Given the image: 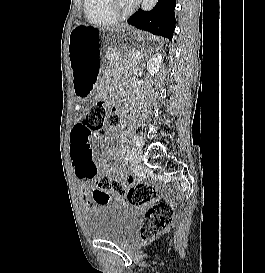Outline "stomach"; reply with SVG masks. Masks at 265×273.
I'll use <instances>...</instances> for the list:
<instances>
[{
  "label": "stomach",
  "mask_w": 265,
  "mask_h": 273,
  "mask_svg": "<svg viewBox=\"0 0 265 273\" xmlns=\"http://www.w3.org/2000/svg\"><path fill=\"white\" fill-rule=\"evenodd\" d=\"M139 34V30L129 27L104 29L76 24L68 41L76 94L90 95L97 79L108 78L117 64H133L138 56H147V51L140 49H156V45H161V40H153V35Z\"/></svg>",
  "instance_id": "1"
}]
</instances>
